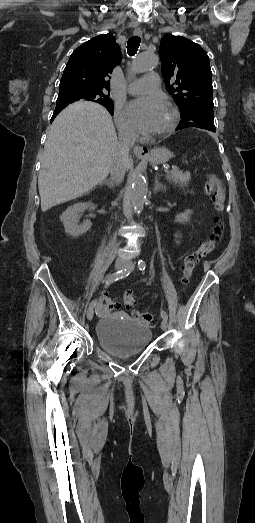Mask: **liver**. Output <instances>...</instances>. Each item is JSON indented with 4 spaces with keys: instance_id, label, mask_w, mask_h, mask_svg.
<instances>
[{
    "instance_id": "liver-1",
    "label": "liver",
    "mask_w": 255,
    "mask_h": 523,
    "mask_svg": "<svg viewBox=\"0 0 255 523\" xmlns=\"http://www.w3.org/2000/svg\"><path fill=\"white\" fill-rule=\"evenodd\" d=\"M118 144L113 120L103 106L75 102L65 108L51 124L41 158L42 212L79 198L103 182ZM131 164L129 160L126 170Z\"/></svg>"
}]
</instances>
